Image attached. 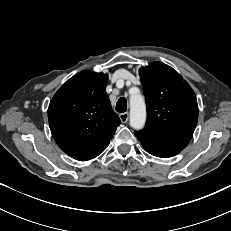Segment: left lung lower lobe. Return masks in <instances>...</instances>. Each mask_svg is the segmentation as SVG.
Instances as JSON below:
<instances>
[{"mask_svg": "<svg viewBox=\"0 0 231 231\" xmlns=\"http://www.w3.org/2000/svg\"><path fill=\"white\" fill-rule=\"evenodd\" d=\"M136 136L140 140V142H141L142 146L145 148V150L154 156L161 157V158H168V157H172V156L178 154V152H176L172 149H168L166 147L158 145V144L151 142L148 139L140 137L138 135H136Z\"/></svg>", "mask_w": 231, "mask_h": 231, "instance_id": "left-lung-lower-lobe-1", "label": "left lung lower lobe"}]
</instances>
